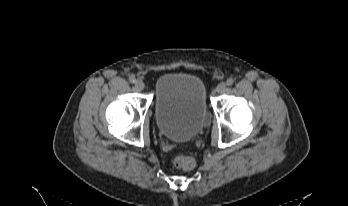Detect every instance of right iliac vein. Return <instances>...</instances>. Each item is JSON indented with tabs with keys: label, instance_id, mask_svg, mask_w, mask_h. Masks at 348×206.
I'll return each mask as SVG.
<instances>
[{
	"label": "right iliac vein",
	"instance_id": "right-iliac-vein-1",
	"mask_svg": "<svg viewBox=\"0 0 348 206\" xmlns=\"http://www.w3.org/2000/svg\"><path fill=\"white\" fill-rule=\"evenodd\" d=\"M135 87L137 90H143L144 89V83L141 80H137L135 82Z\"/></svg>",
	"mask_w": 348,
	"mask_h": 206
}]
</instances>
